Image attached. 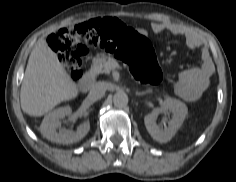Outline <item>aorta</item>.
<instances>
[{
    "label": "aorta",
    "instance_id": "aorta-1",
    "mask_svg": "<svg viewBox=\"0 0 236 182\" xmlns=\"http://www.w3.org/2000/svg\"><path fill=\"white\" fill-rule=\"evenodd\" d=\"M113 103L116 107H124L128 104V95L125 92L118 91L113 96Z\"/></svg>",
    "mask_w": 236,
    "mask_h": 182
}]
</instances>
